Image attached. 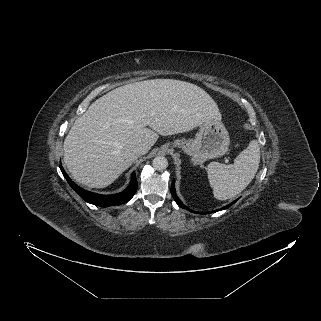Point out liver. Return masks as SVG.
Masks as SVG:
<instances>
[{
    "mask_svg": "<svg viewBox=\"0 0 321 321\" xmlns=\"http://www.w3.org/2000/svg\"><path fill=\"white\" fill-rule=\"evenodd\" d=\"M221 120L202 88L175 79H153L118 87L93 102L65 138L64 162L73 178L90 188L114 182L138 158L132 148H150L162 136Z\"/></svg>",
    "mask_w": 321,
    "mask_h": 321,
    "instance_id": "6515ba94",
    "label": "liver"
}]
</instances>
